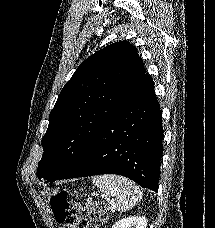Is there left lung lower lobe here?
Returning a JSON list of instances; mask_svg holds the SVG:
<instances>
[{"mask_svg": "<svg viewBox=\"0 0 215 228\" xmlns=\"http://www.w3.org/2000/svg\"><path fill=\"white\" fill-rule=\"evenodd\" d=\"M163 127L154 83L146 74L76 161L51 180L118 174L158 191Z\"/></svg>", "mask_w": 215, "mask_h": 228, "instance_id": "left-lung-lower-lobe-1", "label": "left lung lower lobe"}]
</instances>
